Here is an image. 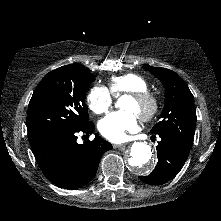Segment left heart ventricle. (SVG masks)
Here are the masks:
<instances>
[{"mask_svg":"<svg viewBox=\"0 0 221 221\" xmlns=\"http://www.w3.org/2000/svg\"><path fill=\"white\" fill-rule=\"evenodd\" d=\"M122 107L125 110H130L134 112L136 115H138L141 111L144 110V107L139 105L134 99L131 97H128L124 100Z\"/></svg>","mask_w":221,"mask_h":221,"instance_id":"obj_1","label":"left heart ventricle"}]
</instances>
